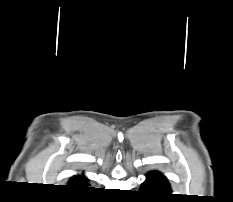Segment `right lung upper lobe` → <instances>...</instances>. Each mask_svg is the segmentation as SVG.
I'll use <instances>...</instances> for the list:
<instances>
[{
    "instance_id": "cb5924a9",
    "label": "right lung upper lobe",
    "mask_w": 233,
    "mask_h": 202,
    "mask_svg": "<svg viewBox=\"0 0 233 202\" xmlns=\"http://www.w3.org/2000/svg\"><path fill=\"white\" fill-rule=\"evenodd\" d=\"M69 184H74V185L79 184L80 186H85V185H87V178L84 177V175L82 173V175L73 176L69 180ZM75 187H77V186H75Z\"/></svg>"
}]
</instances>
